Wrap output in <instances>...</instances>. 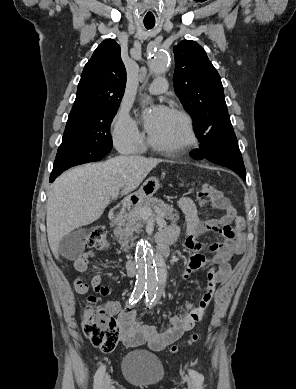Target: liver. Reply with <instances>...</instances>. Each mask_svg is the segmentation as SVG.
I'll return each instance as SVG.
<instances>
[{
    "mask_svg": "<svg viewBox=\"0 0 296 389\" xmlns=\"http://www.w3.org/2000/svg\"><path fill=\"white\" fill-rule=\"evenodd\" d=\"M162 160L121 155L102 163L86 164L63 173L55 180L47 199V236L59 259L61 239L74 229L98 220L112 195L135 190Z\"/></svg>",
    "mask_w": 296,
    "mask_h": 389,
    "instance_id": "obj_1",
    "label": "liver"
}]
</instances>
